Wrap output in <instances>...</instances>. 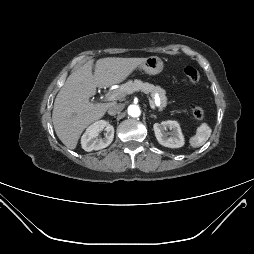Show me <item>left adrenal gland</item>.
I'll return each mask as SVG.
<instances>
[{"instance_id":"obj_1","label":"left adrenal gland","mask_w":254,"mask_h":254,"mask_svg":"<svg viewBox=\"0 0 254 254\" xmlns=\"http://www.w3.org/2000/svg\"><path fill=\"white\" fill-rule=\"evenodd\" d=\"M152 118H157V116L155 114H151L150 115Z\"/></svg>"}]
</instances>
